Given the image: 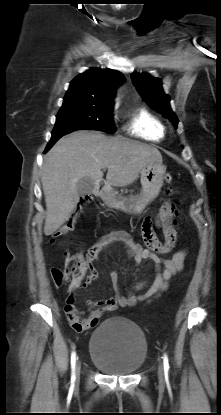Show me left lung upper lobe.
Here are the masks:
<instances>
[{
    "label": "left lung upper lobe",
    "instance_id": "left-lung-upper-lobe-1",
    "mask_svg": "<svg viewBox=\"0 0 221 415\" xmlns=\"http://www.w3.org/2000/svg\"><path fill=\"white\" fill-rule=\"evenodd\" d=\"M131 79L144 101L177 128L178 119L170 107V97L163 91L161 80L146 73H133Z\"/></svg>",
    "mask_w": 221,
    "mask_h": 415
}]
</instances>
